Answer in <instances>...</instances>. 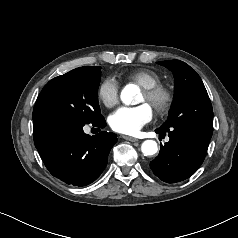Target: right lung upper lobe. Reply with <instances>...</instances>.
Instances as JSON below:
<instances>
[{"label": "right lung upper lobe", "mask_w": 238, "mask_h": 238, "mask_svg": "<svg viewBox=\"0 0 238 238\" xmlns=\"http://www.w3.org/2000/svg\"><path fill=\"white\" fill-rule=\"evenodd\" d=\"M37 108H38V105L35 104V107H34L33 113H35V111L37 110ZM42 120H43L42 118L37 117V116H34V118H33V121H42Z\"/></svg>", "instance_id": "cb5924a9"}]
</instances>
